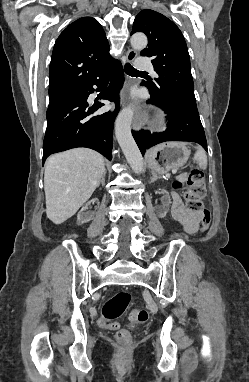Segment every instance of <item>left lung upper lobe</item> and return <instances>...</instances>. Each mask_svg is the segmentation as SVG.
<instances>
[{"label":"left lung upper lobe","mask_w":249,"mask_h":382,"mask_svg":"<svg viewBox=\"0 0 249 382\" xmlns=\"http://www.w3.org/2000/svg\"><path fill=\"white\" fill-rule=\"evenodd\" d=\"M137 31L149 37L148 47L141 51V56L152 58L159 75L144 85L164 102L197 107L189 53L179 28L164 15L145 9L136 16L131 35Z\"/></svg>","instance_id":"1"}]
</instances>
